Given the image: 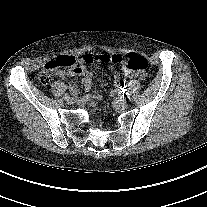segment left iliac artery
I'll return each mask as SVG.
<instances>
[{
	"label": "left iliac artery",
	"mask_w": 207,
	"mask_h": 207,
	"mask_svg": "<svg viewBox=\"0 0 207 207\" xmlns=\"http://www.w3.org/2000/svg\"><path fill=\"white\" fill-rule=\"evenodd\" d=\"M132 96V93L131 92H125L124 94H123V97L125 98V99H128V98H130Z\"/></svg>",
	"instance_id": "left-iliac-artery-1"
}]
</instances>
